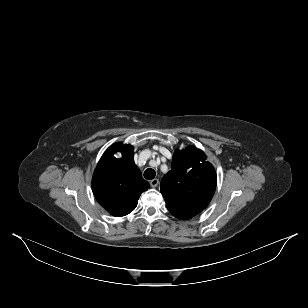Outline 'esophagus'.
Instances as JSON below:
<instances>
[{"mask_svg": "<svg viewBox=\"0 0 308 308\" xmlns=\"http://www.w3.org/2000/svg\"><path fill=\"white\" fill-rule=\"evenodd\" d=\"M158 184H159V180L156 179V178L150 181V185H151V187H153V188L157 187Z\"/></svg>", "mask_w": 308, "mask_h": 308, "instance_id": "1", "label": "esophagus"}]
</instances>
